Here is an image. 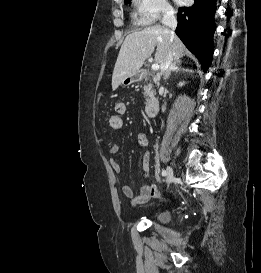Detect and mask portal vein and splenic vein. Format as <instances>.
<instances>
[{
  "mask_svg": "<svg viewBox=\"0 0 261 273\" xmlns=\"http://www.w3.org/2000/svg\"><path fill=\"white\" fill-rule=\"evenodd\" d=\"M159 68H160V66H159V64H157V63H154V64L152 65V70H154V71L159 70Z\"/></svg>",
  "mask_w": 261,
  "mask_h": 273,
  "instance_id": "portal-vein-and-splenic-vein-1",
  "label": "portal vein and splenic vein"
}]
</instances>
